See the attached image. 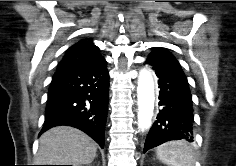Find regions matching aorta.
I'll return each mask as SVG.
<instances>
[{
    "label": "aorta",
    "instance_id": "obj_1",
    "mask_svg": "<svg viewBox=\"0 0 236 166\" xmlns=\"http://www.w3.org/2000/svg\"><path fill=\"white\" fill-rule=\"evenodd\" d=\"M138 126L144 131L150 128L153 117L155 91L152 74L147 69H142L138 77Z\"/></svg>",
    "mask_w": 236,
    "mask_h": 166
}]
</instances>
